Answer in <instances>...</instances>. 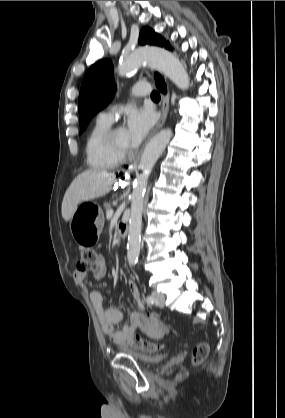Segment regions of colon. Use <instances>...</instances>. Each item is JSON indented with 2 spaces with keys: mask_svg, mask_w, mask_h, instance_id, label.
<instances>
[{
  "mask_svg": "<svg viewBox=\"0 0 285 418\" xmlns=\"http://www.w3.org/2000/svg\"><path fill=\"white\" fill-rule=\"evenodd\" d=\"M97 253L93 249L85 248L81 252V259L78 264V270L81 272L94 271L96 269ZM130 345L143 352L155 353L162 347L159 344L147 341L138 335H134L130 339ZM209 354V345L206 342L198 343L193 349L191 364H201ZM185 371H182L184 373Z\"/></svg>",
  "mask_w": 285,
  "mask_h": 418,
  "instance_id": "colon-1",
  "label": "colon"
}]
</instances>
